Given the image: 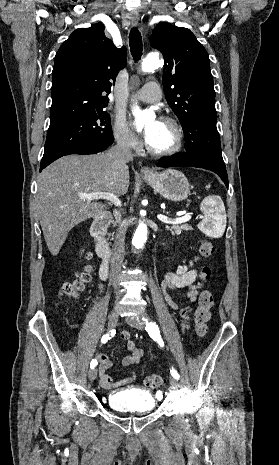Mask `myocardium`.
I'll use <instances>...</instances> for the list:
<instances>
[{
	"instance_id": "obj_1",
	"label": "myocardium",
	"mask_w": 279,
	"mask_h": 465,
	"mask_svg": "<svg viewBox=\"0 0 279 465\" xmlns=\"http://www.w3.org/2000/svg\"><path fill=\"white\" fill-rule=\"evenodd\" d=\"M161 122L167 123V124H169L170 126L173 127V129L175 131V142L169 149H166V150H163V151H156V150L152 149L149 146L148 142L146 141L145 142L146 151L151 156L158 157V158L168 157V156H172V155L176 154L177 152L180 151V149L183 146V142H184V131H183V128H182L181 124L177 120H175L174 118H171V117H162Z\"/></svg>"
}]
</instances>
